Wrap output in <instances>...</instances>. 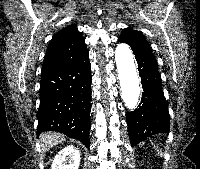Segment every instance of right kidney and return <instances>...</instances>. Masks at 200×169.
<instances>
[{"label": "right kidney", "mask_w": 200, "mask_h": 169, "mask_svg": "<svg viewBox=\"0 0 200 169\" xmlns=\"http://www.w3.org/2000/svg\"><path fill=\"white\" fill-rule=\"evenodd\" d=\"M80 165V151L69 145L55 156L51 169H78Z\"/></svg>", "instance_id": "right-kidney-1"}]
</instances>
